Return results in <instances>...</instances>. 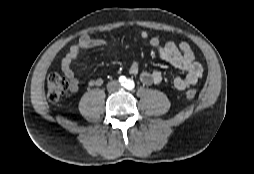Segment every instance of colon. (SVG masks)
<instances>
[{
  "label": "colon",
  "instance_id": "obj_1",
  "mask_svg": "<svg viewBox=\"0 0 254 174\" xmlns=\"http://www.w3.org/2000/svg\"><path fill=\"white\" fill-rule=\"evenodd\" d=\"M70 89V82L67 75L60 69L54 70L47 79V97L50 101H58ZM194 89H187L185 97L194 99L196 97Z\"/></svg>",
  "mask_w": 254,
  "mask_h": 174
}]
</instances>
